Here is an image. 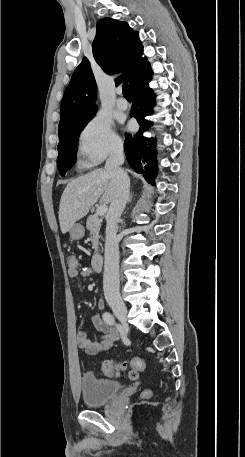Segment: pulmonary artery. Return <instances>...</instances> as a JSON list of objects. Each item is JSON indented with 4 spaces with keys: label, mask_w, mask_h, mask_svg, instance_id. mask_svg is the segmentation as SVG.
<instances>
[{
    "label": "pulmonary artery",
    "mask_w": 245,
    "mask_h": 457,
    "mask_svg": "<svg viewBox=\"0 0 245 457\" xmlns=\"http://www.w3.org/2000/svg\"><path fill=\"white\" fill-rule=\"evenodd\" d=\"M121 93H122V90H121L120 88L117 89V94H118V95H121ZM115 105H116V108L119 109V110H125V109L128 108V103H127V101H126L124 98H121V97H119V98L116 100Z\"/></svg>",
    "instance_id": "pulmonary-artery-1"
}]
</instances>
